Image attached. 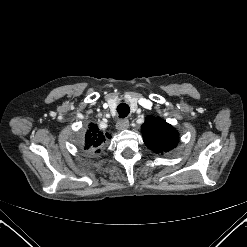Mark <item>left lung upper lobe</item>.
Masks as SVG:
<instances>
[{
	"mask_svg": "<svg viewBox=\"0 0 247 247\" xmlns=\"http://www.w3.org/2000/svg\"><path fill=\"white\" fill-rule=\"evenodd\" d=\"M145 144L156 153L168 152L179 141L178 132L165 120L148 116L141 127Z\"/></svg>",
	"mask_w": 247,
	"mask_h": 247,
	"instance_id": "1",
	"label": "left lung upper lobe"
}]
</instances>
